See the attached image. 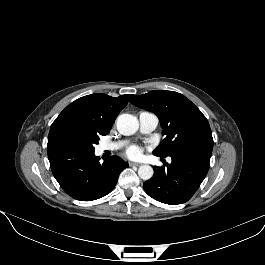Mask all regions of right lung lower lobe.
I'll use <instances>...</instances> for the list:
<instances>
[{
  "instance_id": "obj_1",
  "label": "right lung lower lobe",
  "mask_w": 265,
  "mask_h": 265,
  "mask_svg": "<svg viewBox=\"0 0 265 265\" xmlns=\"http://www.w3.org/2000/svg\"><path fill=\"white\" fill-rule=\"evenodd\" d=\"M50 167L63 190L81 201L99 199L112 191L128 163L111 156L102 164L94 151L57 146L48 149Z\"/></svg>"
}]
</instances>
